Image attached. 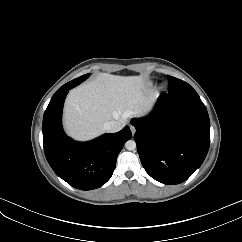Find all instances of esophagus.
Masks as SVG:
<instances>
[{
  "instance_id": "obj_1",
  "label": "esophagus",
  "mask_w": 242,
  "mask_h": 242,
  "mask_svg": "<svg viewBox=\"0 0 242 242\" xmlns=\"http://www.w3.org/2000/svg\"><path fill=\"white\" fill-rule=\"evenodd\" d=\"M130 129H131L132 134H134V133H135V131H136L135 127H134V126H132V125H130Z\"/></svg>"
}]
</instances>
